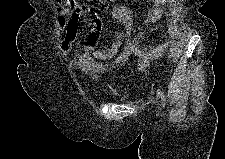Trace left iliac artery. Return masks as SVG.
<instances>
[{
  "mask_svg": "<svg viewBox=\"0 0 225 159\" xmlns=\"http://www.w3.org/2000/svg\"><path fill=\"white\" fill-rule=\"evenodd\" d=\"M157 93H158V96L161 98V103H162V106L164 107L165 105V97L163 95V93L161 92L160 89L157 90Z\"/></svg>",
  "mask_w": 225,
  "mask_h": 159,
  "instance_id": "left-iliac-artery-1",
  "label": "left iliac artery"
}]
</instances>
